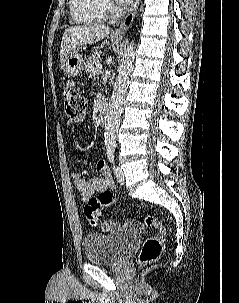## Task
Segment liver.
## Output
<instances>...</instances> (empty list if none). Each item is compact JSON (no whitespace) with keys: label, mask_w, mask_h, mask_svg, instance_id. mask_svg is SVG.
<instances>
[{"label":"liver","mask_w":239,"mask_h":303,"mask_svg":"<svg viewBox=\"0 0 239 303\" xmlns=\"http://www.w3.org/2000/svg\"><path fill=\"white\" fill-rule=\"evenodd\" d=\"M111 30L103 24H84L69 27L65 30L60 49V58L70 50L82 45H91L101 41L110 34Z\"/></svg>","instance_id":"1"}]
</instances>
